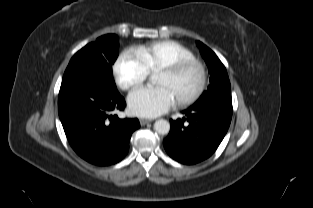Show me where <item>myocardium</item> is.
<instances>
[{"mask_svg":"<svg viewBox=\"0 0 313 208\" xmlns=\"http://www.w3.org/2000/svg\"><path fill=\"white\" fill-rule=\"evenodd\" d=\"M196 69L198 72V82L188 95L175 99L178 106H187L197 101L204 92L207 84V70L205 65L198 59H185L177 61L171 65L162 67L158 71L171 77H176L187 70Z\"/></svg>","mask_w":313,"mask_h":208,"instance_id":"myocardium-1","label":"myocardium"}]
</instances>
